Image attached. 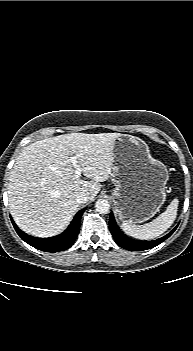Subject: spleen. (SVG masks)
Wrapping results in <instances>:
<instances>
[{"label":"spleen","mask_w":193,"mask_h":351,"mask_svg":"<svg viewBox=\"0 0 193 351\" xmlns=\"http://www.w3.org/2000/svg\"><path fill=\"white\" fill-rule=\"evenodd\" d=\"M178 203L179 201L177 198L173 199L165 212L160 214L150 223L144 225H135L132 222L123 221L121 225L122 230L125 234L141 240L156 238L163 234L175 221Z\"/></svg>","instance_id":"spleen-1"}]
</instances>
